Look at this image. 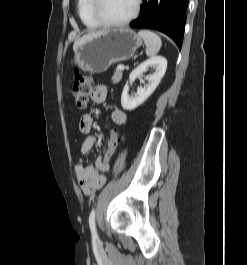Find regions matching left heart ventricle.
Wrapping results in <instances>:
<instances>
[{
    "mask_svg": "<svg viewBox=\"0 0 247 265\" xmlns=\"http://www.w3.org/2000/svg\"><path fill=\"white\" fill-rule=\"evenodd\" d=\"M136 0H102L100 12L109 21H121L131 15Z\"/></svg>",
    "mask_w": 247,
    "mask_h": 265,
    "instance_id": "1",
    "label": "left heart ventricle"
}]
</instances>
